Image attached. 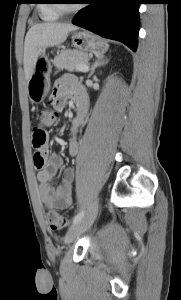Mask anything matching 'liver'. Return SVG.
Instances as JSON below:
<instances>
[{
	"mask_svg": "<svg viewBox=\"0 0 181 300\" xmlns=\"http://www.w3.org/2000/svg\"><path fill=\"white\" fill-rule=\"evenodd\" d=\"M78 27L69 23H40L33 25L26 34L24 43V73L29 81L35 67L38 55L47 47L63 43L69 32Z\"/></svg>",
	"mask_w": 181,
	"mask_h": 300,
	"instance_id": "1",
	"label": "liver"
}]
</instances>
